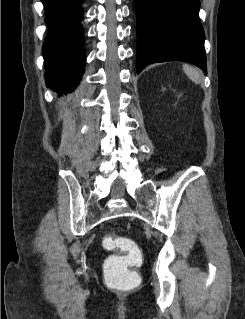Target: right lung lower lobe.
Here are the masks:
<instances>
[{
	"label": "right lung lower lobe",
	"instance_id": "1",
	"mask_svg": "<svg viewBox=\"0 0 245 319\" xmlns=\"http://www.w3.org/2000/svg\"><path fill=\"white\" fill-rule=\"evenodd\" d=\"M83 0H42L48 33L43 45L45 79L53 91L67 93L79 84L85 67Z\"/></svg>",
	"mask_w": 245,
	"mask_h": 319
}]
</instances>
